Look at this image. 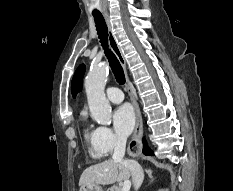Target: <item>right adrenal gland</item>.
<instances>
[{
    "mask_svg": "<svg viewBox=\"0 0 233 191\" xmlns=\"http://www.w3.org/2000/svg\"><path fill=\"white\" fill-rule=\"evenodd\" d=\"M145 172H146V174L149 176L150 179H153L152 170H150V169H145Z\"/></svg>",
    "mask_w": 233,
    "mask_h": 191,
    "instance_id": "right-adrenal-gland-1",
    "label": "right adrenal gland"
}]
</instances>
